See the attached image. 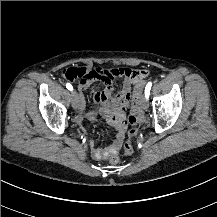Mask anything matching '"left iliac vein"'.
I'll return each mask as SVG.
<instances>
[{
	"mask_svg": "<svg viewBox=\"0 0 217 217\" xmlns=\"http://www.w3.org/2000/svg\"><path fill=\"white\" fill-rule=\"evenodd\" d=\"M140 105L144 110H147L148 108V101L145 96H141Z\"/></svg>",
	"mask_w": 217,
	"mask_h": 217,
	"instance_id": "left-iliac-vein-1",
	"label": "left iliac vein"
}]
</instances>
